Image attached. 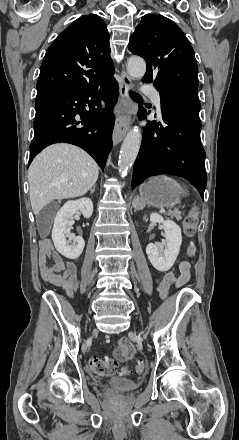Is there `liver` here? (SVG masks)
<instances>
[{"instance_id":"liver-1","label":"liver","mask_w":239,"mask_h":440,"mask_svg":"<svg viewBox=\"0 0 239 440\" xmlns=\"http://www.w3.org/2000/svg\"><path fill=\"white\" fill-rule=\"evenodd\" d=\"M99 168L89 154L71 144H53L34 158L28 170L33 214L64 198L84 196L98 180Z\"/></svg>"}]
</instances>
